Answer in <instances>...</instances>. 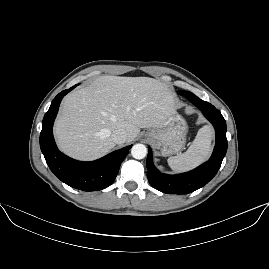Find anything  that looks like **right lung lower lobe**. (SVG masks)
Listing matches in <instances>:
<instances>
[{
  "mask_svg": "<svg viewBox=\"0 0 269 269\" xmlns=\"http://www.w3.org/2000/svg\"><path fill=\"white\" fill-rule=\"evenodd\" d=\"M76 86L60 92L52 101L42 122L40 147L49 168L62 182L83 191H98L115 180L132 145L92 162L76 161L58 150L52 132L54 119L62 98Z\"/></svg>",
  "mask_w": 269,
  "mask_h": 269,
  "instance_id": "98d812e1",
  "label": "right lung lower lobe"
}]
</instances>
